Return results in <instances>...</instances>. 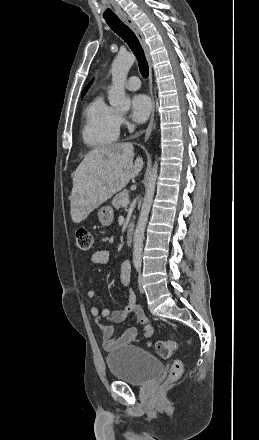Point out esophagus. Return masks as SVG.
Segmentation results:
<instances>
[{"instance_id":"1","label":"esophagus","mask_w":259,"mask_h":440,"mask_svg":"<svg viewBox=\"0 0 259 440\" xmlns=\"http://www.w3.org/2000/svg\"><path fill=\"white\" fill-rule=\"evenodd\" d=\"M120 19L131 28V30L136 34L137 38L139 39L147 62H148V67H149V90H150V95L152 98V113H151V118H150V122L149 125L146 129L145 132V142L149 139L150 134L152 132L153 129V124H154V114H155V98H154V93H153V79H152V61H151V56H150V51H149V47L147 45V43L144 40V37L140 31V29L138 28V26L136 25V23L132 20L131 17H129L127 14H121Z\"/></svg>"}]
</instances>
